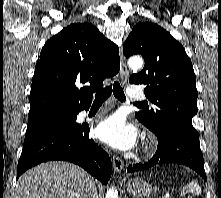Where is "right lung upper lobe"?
I'll list each match as a JSON object with an SVG mask.
<instances>
[{"mask_svg":"<svg viewBox=\"0 0 221 198\" xmlns=\"http://www.w3.org/2000/svg\"><path fill=\"white\" fill-rule=\"evenodd\" d=\"M119 69L118 47L96 27L69 25L41 51L31 85L28 122L88 109L93 92Z\"/></svg>","mask_w":221,"mask_h":198,"instance_id":"cb5924a9","label":"right lung upper lobe"}]
</instances>
